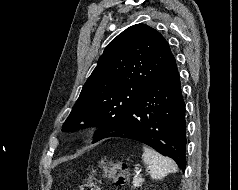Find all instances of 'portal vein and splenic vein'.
Listing matches in <instances>:
<instances>
[{
    "label": "portal vein and splenic vein",
    "mask_w": 238,
    "mask_h": 190,
    "mask_svg": "<svg viewBox=\"0 0 238 190\" xmlns=\"http://www.w3.org/2000/svg\"><path fill=\"white\" fill-rule=\"evenodd\" d=\"M136 172H140V170L138 169V170H136Z\"/></svg>",
    "instance_id": "1"
}]
</instances>
